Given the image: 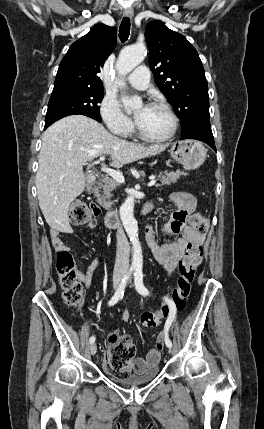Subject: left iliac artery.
Returning a JSON list of instances; mask_svg holds the SVG:
<instances>
[{
	"mask_svg": "<svg viewBox=\"0 0 264 429\" xmlns=\"http://www.w3.org/2000/svg\"><path fill=\"white\" fill-rule=\"evenodd\" d=\"M134 276H135V278H134V282H135L136 290H137L140 294H142V295H144V296L148 295V294H149V291H148V289H147V288L144 286V284H143V273H142V268H137V269L135 270ZM164 300H165V301L168 303V305L170 306V315H169V317H168V319H167V321H166V323H165V327H164L165 343H166L167 347H170V348H171V347H172V342H171V340L169 339L168 331H169V328H170V326H171L172 322H173V321H174V319H175L176 309H175V306H174V303H173V301H172V300H170V299H168V298H166V297H164Z\"/></svg>",
	"mask_w": 264,
	"mask_h": 429,
	"instance_id": "1",
	"label": "left iliac artery"
}]
</instances>
